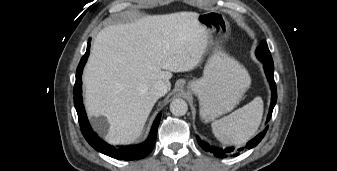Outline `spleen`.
I'll return each instance as SVG.
<instances>
[{"instance_id": "1", "label": "spleen", "mask_w": 337, "mask_h": 171, "mask_svg": "<svg viewBox=\"0 0 337 171\" xmlns=\"http://www.w3.org/2000/svg\"><path fill=\"white\" fill-rule=\"evenodd\" d=\"M263 115V100L254 98L228 116L215 120L211 127L215 137L226 145L247 142L258 130Z\"/></svg>"}]
</instances>
